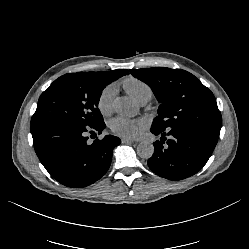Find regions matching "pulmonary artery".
<instances>
[{"instance_id":"pulmonary-artery-1","label":"pulmonary artery","mask_w":249,"mask_h":249,"mask_svg":"<svg viewBox=\"0 0 249 249\" xmlns=\"http://www.w3.org/2000/svg\"><path fill=\"white\" fill-rule=\"evenodd\" d=\"M145 103H146V101H144V102H141L140 104L144 105Z\"/></svg>"}]
</instances>
